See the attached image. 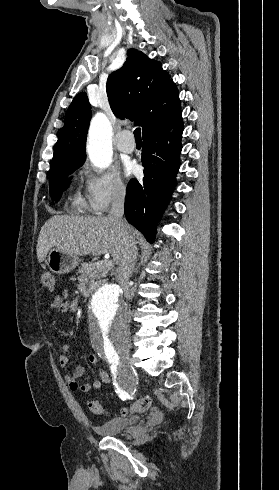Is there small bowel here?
<instances>
[{"label":"small bowel","instance_id":"small-bowel-1","mask_svg":"<svg viewBox=\"0 0 279 490\" xmlns=\"http://www.w3.org/2000/svg\"><path fill=\"white\" fill-rule=\"evenodd\" d=\"M49 307L59 313H66L70 310V303L63 300L61 297L56 296L50 302ZM78 343V341H75L60 346L58 361L61 367H66L69 364L70 351ZM88 362L96 370L98 378L92 383H79V380L85 375V368L83 366H77L73 372L65 376V380L69 384L71 390L86 393L92 389H100L102 385L109 382L110 376L108 372L99 366L98 359L95 355L91 354L88 357Z\"/></svg>","mask_w":279,"mask_h":490}]
</instances>
